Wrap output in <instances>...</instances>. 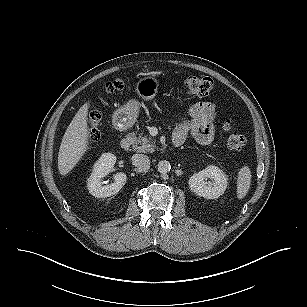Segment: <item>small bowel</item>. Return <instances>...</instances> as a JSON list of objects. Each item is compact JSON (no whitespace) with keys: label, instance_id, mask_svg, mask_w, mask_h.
Returning <instances> with one entry per match:
<instances>
[{"label":"small bowel","instance_id":"c3829d8e","mask_svg":"<svg viewBox=\"0 0 307 307\" xmlns=\"http://www.w3.org/2000/svg\"><path fill=\"white\" fill-rule=\"evenodd\" d=\"M190 119L179 123L174 132L173 139L184 143L188 136L202 145L210 144L214 139L213 120L216 117L214 105L208 102H196L189 107Z\"/></svg>","mask_w":307,"mask_h":307}]
</instances>
